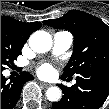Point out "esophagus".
Segmentation results:
<instances>
[{"label":"esophagus","mask_w":109,"mask_h":109,"mask_svg":"<svg viewBox=\"0 0 109 109\" xmlns=\"http://www.w3.org/2000/svg\"><path fill=\"white\" fill-rule=\"evenodd\" d=\"M42 85L45 87V88H48V87H50L51 85L50 84H48V83H42Z\"/></svg>","instance_id":"34e87169"}]
</instances>
